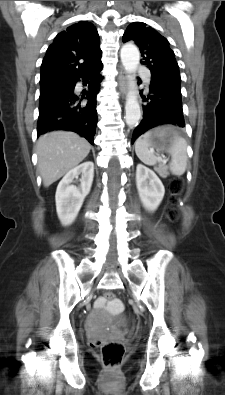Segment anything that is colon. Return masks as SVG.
<instances>
[{"label":"colon","mask_w":225,"mask_h":395,"mask_svg":"<svg viewBox=\"0 0 225 395\" xmlns=\"http://www.w3.org/2000/svg\"><path fill=\"white\" fill-rule=\"evenodd\" d=\"M182 190V179L174 178L170 181L169 191L171 204L165 211L166 217L169 221H175L177 219V211L173 205L180 196ZM105 297L108 302L114 298L113 294L109 293V291H106ZM93 346L99 350L103 364L110 369L117 368L121 364L126 352L124 342L118 339L95 342Z\"/></svg>","instance_id":"5ec220e1"}]
</instances>
